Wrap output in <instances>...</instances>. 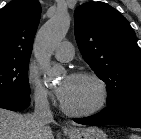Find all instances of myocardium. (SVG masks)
<instances>
[{
	"instance_id": "1",
	"label": "myocardium",
	"mask_w": 141,
	"mask_h": 139,
	"mask_svg": "<svg viewBox=\"0 0 141 139\" xmlns=\"http://www.w3.org/2000/svg\"><path fill=\"white\" fill-rule=\"evenodd\" d=\"M70 77L89 78L93 80L99 88L100 98L96 105H94L93 107L89 109H85V110L71 109L67 107L61 100L60 106L64 113L70 116H74V117H87V116H92V115L99 113L106 107L108 103V99H109V91H108L106 82L98 74L92 71L83 70V71H77V72L72 73Z\"/></svg>"
}]
</instances>
